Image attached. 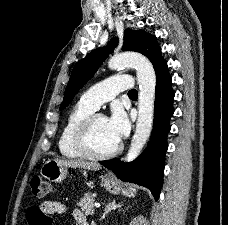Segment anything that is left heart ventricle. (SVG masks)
Masks as SVG:
<instances>
[{
	"label": "left heart ventricle",
	"instance_id": "b2bd125f",
	"mask_svg": "<svg viewBox=\"0 0 228 225\" xmlns=\"http://www.w3.org/2000/svg\"><path fill=\"white\" fill-rule=\"evenodd\" d=\"M92 141L100 151L114 148L118 142L110 135L107 127V119L100 115L96 117L92 126Z\"/></svg>",
	"mask_w": 228,
	"mask_h": 225
}]
</instances>
